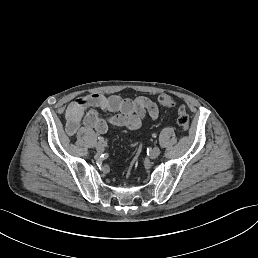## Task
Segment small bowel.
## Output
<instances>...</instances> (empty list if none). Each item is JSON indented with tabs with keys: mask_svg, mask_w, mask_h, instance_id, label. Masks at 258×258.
I'll list each match as a JSON object with an SVG mask.
<instances>
[{
	"mask_svg": "<svg viewBox=\"0 0 258 258\" xmlns=\"http://www.w3.org/2000/svg\"><path fill=\"white\" fill-rule=\"evenodd\" d=\"M99 110L112 115L103 118L99 115ZM147 115L153 120L159 115L157 104L148 97L129 99L93 93L69 103L65 111L66 132L70 136L75 135L81 125L99 134L117 128L136 130Z\"/></svg>",
	"mask_w": 258,
	"mask_h": 258,
	"instance_id": "small-bowel-1",
	"label": "small bowel"
}]
</instances>
